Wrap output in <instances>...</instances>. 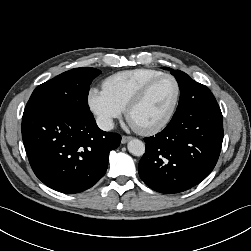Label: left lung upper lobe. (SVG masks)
<instances>
[{
  "label": "left lung upper lobe",
  "instance_id": "1",
  "mask_svg": "<svg viewBox=\"0 0 251 251\" xmlns=\"http://www.w3.org/2000/svg\"><path fill=\"white\" fill-rule=\"evenodd\" d=\"M163 69H167L171 71V74L175 76L179 88L180 93L183 91H189L192 90L194 87L198 86L200 83H197L196 81L192 80L186 73L179 71V70H173L171 68L163 67Z\"/></svg>",
  "mask_w": 251,
  "mask_h": 251
}]
</instances>
